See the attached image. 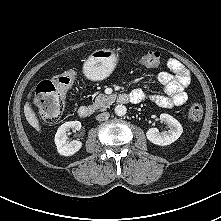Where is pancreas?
<instances>
[{
    "mask_svg": "<svg viewBox=\"0 0 221 221\" xmlns=\"http://www.w3.org/2000/svg\"><path fill=\"white\" fill-rule=\"evenodd\" d=\"M115 99H116L115 95L99 94L95 98L93 107L96 109L105 110L115 101Z\"/></svg>",
    "mask_w": 221,
    "mask_h": 221,
    "instance_id": "cf45deb5",
    "label": "pancreas"
}]
</instances>
